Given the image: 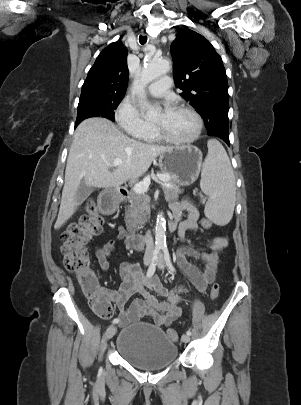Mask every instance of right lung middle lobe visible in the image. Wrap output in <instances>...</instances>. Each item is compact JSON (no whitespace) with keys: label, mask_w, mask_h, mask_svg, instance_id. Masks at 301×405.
I'll return each instance as SVG.
<instances>
[{"label":"right lung middle lobe","mask_w":301,"mask_h":405,"mask_svg":"<svg viewBox=\"0 0 301 405\" xmlns=\"http://www.w3.org/2000/svg\"><path fill=\"white\" fill-rule=\"evenodd\" d=\"M123 97L112 95H86L80 97L75 126L90 117H105L115 121L114 110Z\"/></svg>","instance_id":"right-lung-middle-lobe-1"}]
</instances>
